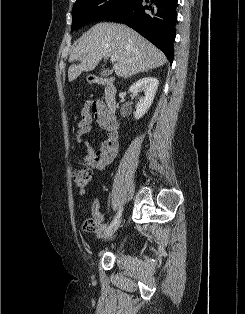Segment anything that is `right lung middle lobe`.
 Here are the masks:
<instances>
[{
	"label": "right lung middle lobe",
	"instance_id": "obj_1",
	"mask_svg": "<svg viewBox=\"0 0 245 314\" xmlns=\"http://www.w3.org/2000/svg\"><path fill=\"white\" fill-rule=\"evenodd\" d=\"M130 0H76L72 9L71 31L104 19Z\"/></svg>",
	"mask_w": 245,
	"mask_h": 314
}]
</instances>
